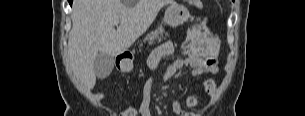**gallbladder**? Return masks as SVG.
<instances>
[{
	"label": "gallbladder",
	"mask_w": 305,
	"mask_h": 116,
	"mask_svg": "<svg viewBox=\"0 0 305 116\" xmlns=\"http://www.w3.org/2000/svg\"><path fill=\"white\" fill-rule=\"evenodd\" d=\"M114 68V57L106 53H99L94 61V69L99 79L107 78Z\"/></svg>",
	"instance_id": "bac80fb5"
}]
</instances>
